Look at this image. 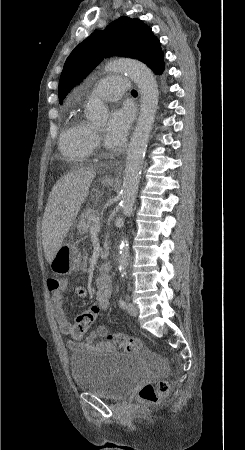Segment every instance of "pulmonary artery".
I'll list each match as a JSON object with an SVG mask.
<instances>
[{
	"instance_id": "obj_1",
	"label": "pulmonary artery",
	"mask_w": 245,
	"mask_h": 450,
	"mask_svg": "<svg viewBox=\"0 0 245 450\" xmlns=\"http://www.w3.org/2000/svg\"><path fill=\"white\" fill-rule=\"evenodd\" d=\"M127 84L128 79L124 76H109L98 81L92 91L103 100L114 101L128 92Z\"/></svg>"
}]
</instances>
